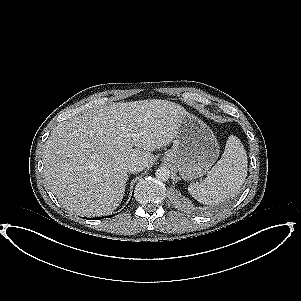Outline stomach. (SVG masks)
Listing matches in <instances>:
<instances>
[{"mask_svg": "<svg viewBox=\"0 0 301 301\" xmlns=\"http://www.w3.org/2000/svg\"><path fill=\"white\" fill-rule=\"evenodd\" d=\"M219 144L212 130L196 117H182L173 146L163 157L184 179L203 176L219 156Z\"/></svg>", "mask_w": 301, "mask_h": 301, "instance_id": "0dacf381", "label": "stomach"}]
</instances>
